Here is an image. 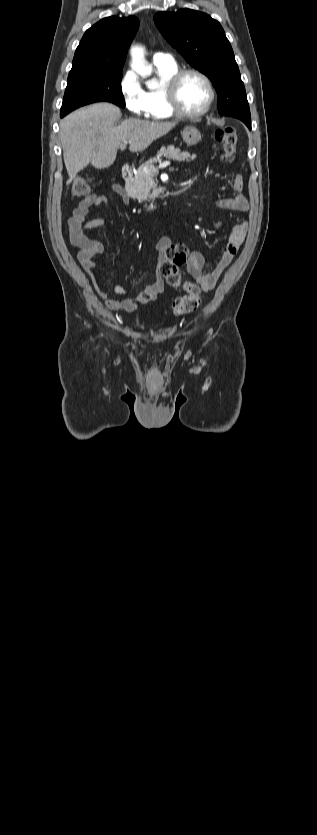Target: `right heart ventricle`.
<instances>
[{
    "mask_svg": "<svg viewBox=\"0 0 317 835\" xmlns=\"http://www.w3.org/2000/svg\"><path fill=\"white\" fill-rule=\"evenodd\" d=\"M155 67L160 83L157 87L149 88L145 92L148 116L155 120L169 119L174 117L175 114L168 103L166 85L171 76L179 70V67L174 61L157 64Z\"/></svg>",
    "mask_w": 317,
    "mask_h": 835,
    "instance_id": "1",
    "label": "right heart ventricle"
}]
</instances>
